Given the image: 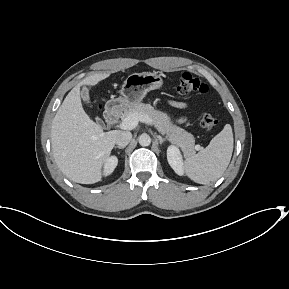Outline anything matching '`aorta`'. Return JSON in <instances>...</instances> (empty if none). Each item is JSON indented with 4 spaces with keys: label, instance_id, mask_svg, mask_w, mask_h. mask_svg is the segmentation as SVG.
Segmentation results:
<instances>
[{
    "label": "aorta",
    "instance_id": "762f6f07",
    "mask_svg": "<svg viewBox=\"0 0 289 289\" xmlns=\"http://www.w3.org/2000/svg\"><path fill=\"white\" fill-rule=\"evenodd\" d=\"M139 144L143 147L149 146L151 144V138L147 134H142L139 137Z\"/></svg>",
    "mask_w": 289,
    "mask_h": 289
}]
</instances>
